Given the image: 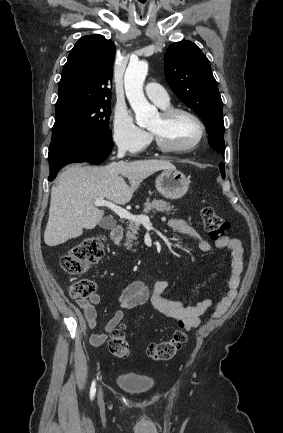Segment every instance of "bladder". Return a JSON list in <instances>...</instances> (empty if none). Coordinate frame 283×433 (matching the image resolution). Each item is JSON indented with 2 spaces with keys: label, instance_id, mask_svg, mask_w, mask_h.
Wrapping results in <instances>:
<instances>
[{
  "label": "bladder",
  "instance_id": "31cf9c89",
  "mask_svg": "<svg viewBox=\"0 0 283 433\" xmlns=\"http://www.w3.org/2000/svg\"><path fill=\"white\" fill-rule=\"evenodd\" d=\"M117 385L123 386L129 393H145L154 385V379L150 375L122 371Z\"/></svg>",
  "mask_w": 283,
  "mask_h": 433
}]
</instances>
